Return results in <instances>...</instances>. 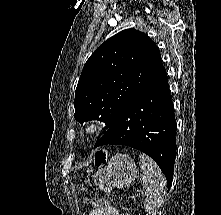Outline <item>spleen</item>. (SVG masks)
Returning <instances> with one entry per match:
<instances>
[{"label":"spleen","instance_id":"1","mask_svg":"<svg viewBox=\"0 0 221 215\" xmlns=\"http://www.w3.org/2000/svg\"><path fill=\"white\" fill-rule=\"evenodd\" d=\"M139 157L141 160L140 179L143 186L142 195L145 198V211L147 215H157L166 193V178L153 159L143 153H140Z\"/></svg>","mask_w":221,"mask_h":215}]
</instances>
